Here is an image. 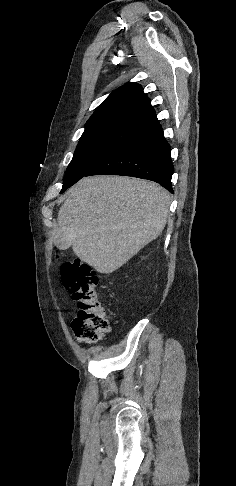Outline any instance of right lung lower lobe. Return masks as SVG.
<instances>
[{
  "label": "right lung lower lobe",
  "instance_id": "98d812e1",
  "mask_svg": "<svg viewBox=\"0 0 236 486\" xmlns=\"http://www.w3.org/2000/svg\"><path fill=\"white\" fill-rule=\"evenodd\" d=\"M170 145L164 138L156 115L144 120L139 131L126 144L95 166L90 175H122L148 179L173 193L174 167Z\"/></svg>",
  "mask_w": 236,
  "mask_h": 486
}]
</instances>
